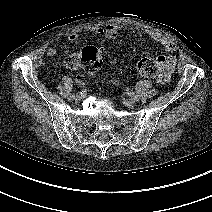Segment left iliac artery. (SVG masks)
<instances>
[{"mask_svg": "<svg viewBox=\"0 0 212 212\" xmlns=\"http://www.w3.org/2000/svg\"><path fill=\"white\" fill-rule=\"evenodd\" d=\"M130 95L133 97V99L139 101L140 97H139L137 94H135V93H130Z\"/></svg>", "mask_w": 212, "mask_h": 212, "instance_id": "left-iliac-artery-1", "label": "left iliac artery"}]
</instances>
